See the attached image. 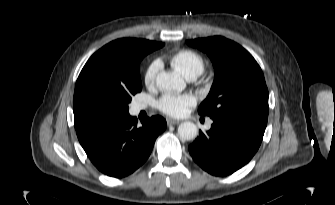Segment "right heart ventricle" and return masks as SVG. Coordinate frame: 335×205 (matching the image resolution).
Wrapping results in <instances>:
<instances>
[{"label":"right heart ventricle","mask_w":335,"mask_h":205,"mask_svg":"<svg viewBox=\"0 0 335 205\" xmlns=\"http://www.w3.org/2000/svg\"><path fill=\"white\" fill-rule=\"evenodd\" d=\"M171 63L187 77L200 75L205 68L204 58L196 51L184 49L171 57Z\"/></svg>","instance_id":"1"}]
</instances>
